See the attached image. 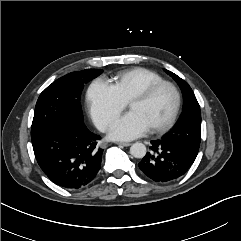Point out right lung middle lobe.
<instances>
[{"label": "right lung middle lobe", "instance_id": "right-lung-middle-lobe-1", "mask_svg": "<svg viewBox=\"0 0 241 241\" xmlns=\"http://www.w3.org/2000/svg\"><path fill=\"white\" fill-rule=\"evenodd\" d=\"M100 69L69 73L50 84L39 96L31 127V139L63 123H83L80 94L84 84L100 75Z\"/></svg>", "mask_w": 241, "mask_h": 241}]
</instances>
